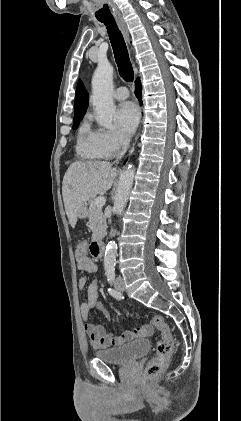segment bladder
I'll return each instance as SVG.
<instances>
[{
  "label": "bladder",
  "instance_id": "31cf9c89",
  "mask_svg": "<svg viewBox=\"0 0 241 421\" xmlns=\"http://www.w3.org/2000/svg\"><path fill=\"white\" fill-rule=\"evenodd\" d=\"M150 349L147 339H140L120 348L99 350L95 356L112 365H126L146 354Z\"/></svg>",
  "mask_w": 241,
  "mask_h": 421
}]
</instances>
